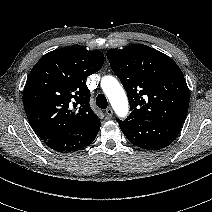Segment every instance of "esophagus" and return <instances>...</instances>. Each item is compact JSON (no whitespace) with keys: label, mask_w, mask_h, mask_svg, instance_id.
<instances>
[{"label":"esophagus","mask_w":212,"mask_h":212,"mask_svg":"<svg viewBox=\"0 0 212 212\" xmlns=\"http://www.w3.org/2000/svg\"><path fill=\"white\" fill-rule=\"evenodd\" d=\"M106 114H107L108 117H112V115H113V110H112L111 107H108V108L106 109Z\"/></svg>","instance_id":"esophagus-1"}]
</instances>
